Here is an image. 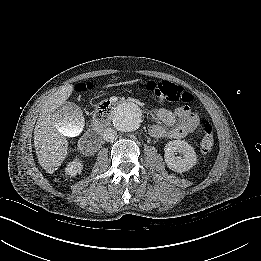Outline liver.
Wrapping results in <instances>:
<instances>
[{"mask_svg": "<svg viewBox=\"0 0 261 261\" xmlns=\"http://www.w3.org/2000/svg\"><path fill=\"white\" fill-rule=\"evenodd\" d=\"M74 89L67 84L49 95L42 103L40 114L34 129V146L38 162L49 174L54 173L62 164L68 154V141L66 135L78 134L84 124L83 112L75 105L74 128L71 134L63 131L60 118L56 114L58 108L66 103Z\"/></svg>", "mask_w": 261, "mask_h": 261, "instance_id": "liver-1", "label": "liver"}]
</instances>
